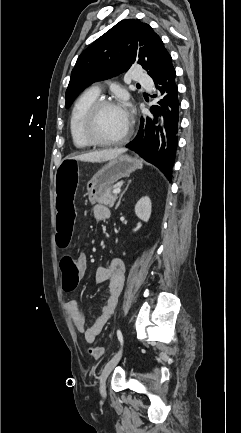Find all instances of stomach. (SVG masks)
<instances>
[{"label":"stomach","mask_w":241,"mask_h":433,"mask_svg":"<svg viewBox=\"0 0 241 433\" xmlns=\"http://www.w3.org/2000/svg\"><path fill=\"white\" fill-rule=\"evenodd\" d=\"M141 161L136 157L118 155L104 165L87 184V195L92 204L110 189L112 184L120 178L128 177L137 170Z\"/></svg>","instance_id":"0dacf381"}]
</instances>
